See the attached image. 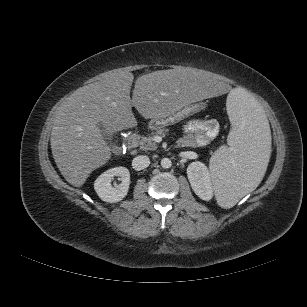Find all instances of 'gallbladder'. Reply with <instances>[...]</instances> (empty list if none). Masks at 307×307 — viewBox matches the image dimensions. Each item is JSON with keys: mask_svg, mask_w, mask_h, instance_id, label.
Listing matches in <instances>:
<instances>
[{"mask_svg": "<svg viewBox=\"0 0 307 307\" xmlns=\"http://www.w3.org/2000/svg\"><path fill=\"white\" fill-rule=\"evenodd\" d=\"M98 127L100 128L101 133H102L104 139L107 140V141H110L111 138H112V133H110V132L107 130V128L104 126V124L101 123V122L98 124Z\"/></svg>", "mask_w": 307, "mask_h": 307, "instance_id": "1", "label": "gallbladder"}]
</instances>
